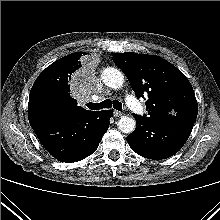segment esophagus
I'll list each match as a JSON object with an SVG mask.
<instances>
[{
  "mask_svg": "<svg viewBox=\"0 0 220 220\" xmlns=\"http://www.w3.org/2000/svg\"><path fill=\"white\" fill-rule=\"evenodd\" d=\"M113 114H114V117H119V116L122 115V112L117 111V110H114V111H113Z\"/></svg>",
  "mask_w": 220,
  "mask_h": 220,
  "instance_id": "1",
  "label": "esophagus"
}]
</instances>
